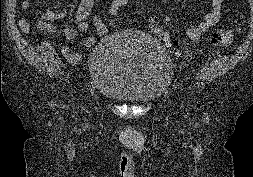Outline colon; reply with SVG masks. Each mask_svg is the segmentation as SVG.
I'll return each instance as SVG.
<instances>
[{"label": "colon", "mask_w": 253, "mask_h": 177, "mask_svg": "<svg viewBox=\"0 0 253 177\" xmlns=\"http://www.w3.org/2000/svg\"><path fill=\"white\" fill-rule=\"evenodd\" d=\"M130 3L131 0H111L109 2L105 12V17L103 19V22L109 32L114 27L119 16L126 10ZM149 29L151 32L162 38L167 46L173 47L175 55H179L178 50L175 49V37L170 31L167 30L164 24L152 19L149 22ZM239 31L240 24L238 23L233 28L222 30L219 33L214 34L212 42L215 45L227 47L234 42Z\"/></svg>", "instance_id": "colon-1"}]
</instances>
